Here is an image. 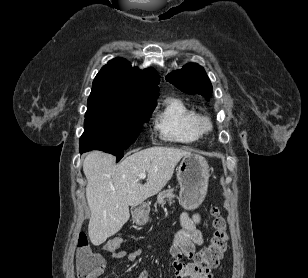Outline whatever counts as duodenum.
<instances>
[{
    "label": "duodenum",
    "mask_w": 308,
    "mask_h": 278,
    "mask_svg": "<svg viewBox=\"0 0 308 278\" xmlns=\"http://www.w3.org/2000/svg\"><path fill=\"white\" fill-rule=\"evenodd\" d=\"M148 211V205L146 203H141L137 205L135 209L134 217L137 221H140Z\"/></svg>",
    "instance_id": "1"
}]
</instances>
